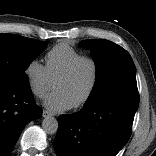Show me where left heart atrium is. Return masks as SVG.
<instances>
[{"mask_svg":"<svg viewBox=\"0 0 156 156\" xmlns=\"http://www.w3.org/2000/svg\"><path fill=\"white\" fill-rule=\"evenodd\" d=\"M45 107L51 112H62L72 108L71 102L60 91L49 94L45 101Z\"/></svg>","mask_w":156,"mask_h":156,"instance_id":"39dd6f15","label":"left heart atrium"}]
</instances>
